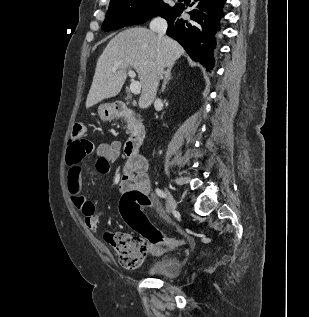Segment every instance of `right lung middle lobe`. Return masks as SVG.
<instances>
[{"label":"right lung middle lobe","instance_id":"right-lung-middle-lobe-1","mask_svg":"<svg viewBox=\"0 0 309 317\" xmlns=\"http://www.w3.org/2000/svg\"><path fill=\"white\" fill-rule=\"evenodd\" d=\"M170 8L162 0H111L101 28L104 31H111L141 24Z\"/></svg>","mask_w":309,"mask_h":317}]
</instances>
